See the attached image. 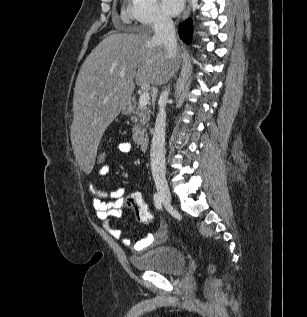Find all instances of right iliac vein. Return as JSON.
Wrapping results in <instances>:
<instances>
[{
    "label": "right iliac vein",
    "instance_id": "right-iliac-vein-1",
    "mask_svg": "<svg viewBox=\"0 0 307 317\" xmlns=\"http://www.w3.org/2000/svg\"><path fill=\"white\" fill-rule=\"evenodd\" d=\"M154 182L161 201L165 206H170L171 193L166 178L164 176H155Z\"/></svg>",
    "mask_w": 307,
    "mask_h": 317
}]
</instances>
